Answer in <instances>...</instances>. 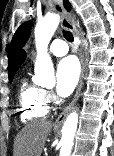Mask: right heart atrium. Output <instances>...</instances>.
<instances>
[{
	"mask_svg": "<svg viewBox=\"0 0 114 156\" xmlns=\"http://www.w3.org/2000/svg\"><path fill=\"white\" fill-rule=\"evenodd\" d=\"M45 99L48 103L53 102L55 99L54 94L51 91L45 90Z\"/></svg>",
	"mask_w": 114,
	"mask_h": 156,
	"instance_id": "1",
	"label": "right heart atrium"
}]
</instances>
